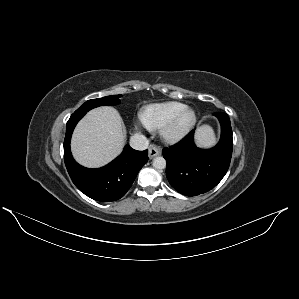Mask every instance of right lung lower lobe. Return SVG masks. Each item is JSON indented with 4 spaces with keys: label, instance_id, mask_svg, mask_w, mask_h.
Segmentation results:
<instances>
[{
    "label": "right lung lower lobe",
    "instance_id": "1",
    "mask_svg": "<svg viewBox=\"0 0 299 299\" xmlns=\"http://www.w3.org/2000/svg\"><path fill=\"white\" fill-rule=\"evenodd\" d=\"M85 112H74L66 125L64 161L75 186L88 197L102 202L120 199L129 190L139 170L148 161V150L137 151L126 145L122 154L108 165L89 169L79 165L72 157V132Z\"/></svg>",
    "mask_w": 299,
    "mask_h": 299
}]
</instances>
